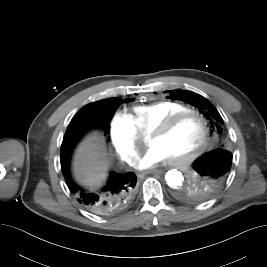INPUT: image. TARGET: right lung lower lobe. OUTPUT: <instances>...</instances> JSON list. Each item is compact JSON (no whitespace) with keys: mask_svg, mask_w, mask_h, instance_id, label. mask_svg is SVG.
<instances>
[{"mask_svg":"<svg viewBox=\"0 0 267 267\" xmlns=\"http://www.w3.org/2000/svg\"><path fill=\"white\" fill-rule=\"evenodd\" d=\"M112 114L102 105L88 104L71 120L61 146V169L69 190L79 203L101 215L115 214L124 210L134 197L137 177L134 173L111 172L106 184L98 191L80 187L72 179L69 170L71 150L84 131L97 127L106 131Z\"/></svg>","mask_w":267,"mask_h":267,"instance_id":"1","label":"right lung lower lobe"}]
</instances>
